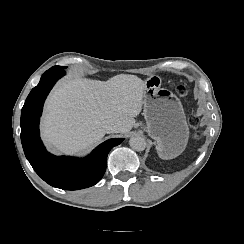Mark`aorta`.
Wrapping results in <instances>:
<instances>
[{
  "label": "aorta",
  "instance_id": "1",
  "mask_svg": "<svg viewBox=\"0 0 244 244\" xmlns=\"http://www.w3.org/2000/svg\"><path fill=\"white\" fill-rule=\"evenodd\" d=\"M129 145L135 151H143L146 148V141L141 136H133L129 140Z\"/></svg>",
  "mask_w": 244,
  "mask_h": 244
}]
</instances>
